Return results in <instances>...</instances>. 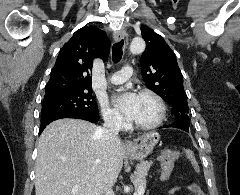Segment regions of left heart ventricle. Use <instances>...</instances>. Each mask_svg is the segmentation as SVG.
<instances>
[{"label": "left heart ventricle", "mask_w": 240, "mask_h": 195, "mask_svg": "<svg viewBox=\"0 0 240 195\" xmlns=\"http://www.w3.org/2000/svg\"><path fill=\"white\" fill-rule=\"evenodd\" d=\"M157 104L149 96H139L137 110L134 119L137 124H147L155 119L157 116Z\"/></svg>", "instance_id": "b2bd125f"}]
</instances>
